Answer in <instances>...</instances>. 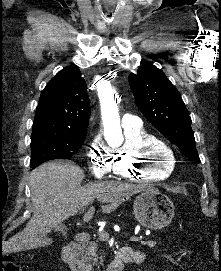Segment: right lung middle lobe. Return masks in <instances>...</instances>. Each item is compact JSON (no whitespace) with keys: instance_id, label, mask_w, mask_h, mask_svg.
<instances>
[{"instance_id":"1","label":"right lung middle lobe","mask_w":221,"mask_h":271,"mask_svg":"<svg viewBox=\"0 0 221 271\" xmlns=\"http://www.w3.org/2000/svg\"><path fill=\"white\" fill-rule=\"evenodd\" d=\"M86 134H64L50 131L32 132L31 169L49 160L71 158L82 146Z\"/></svg>"}]
</instances>
